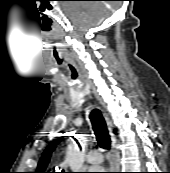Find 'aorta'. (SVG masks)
Here are the masks:
<instances>
[{
    "mask_svg": "<svg viewBox=\"0 0 170 173\" xmlns=\"http://www.w3.org/2000/svg\"><path fill=\"white\" fill-rule=\"evenodd\" d=\"M67 162L72 172H80L83 169L84 153L76 149H70L67 153Z\"/></svg>",
    "mask_w": 170,
    "mask_h": 173,
    "instance_id": "aorta-1",
    "label": "aorta"
}]
</instances>
